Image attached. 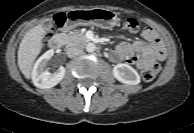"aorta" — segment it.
<instances>
[{"label": "aorta", "mask_w": 194, "mask_h": 133, "mask_svg": "<svg viewBox=\"0 0 194 133\" xmlns=\"http://www.w3.org/2000/svg\"><path fill=\"white\" fill-rule=\"evenodd\" d=\"M95 49H96V46H95L94 43H88V44L86 45V51H87V52H94Z\"/></svg>", "instance_id": "762f6f07"}]
</instances>
